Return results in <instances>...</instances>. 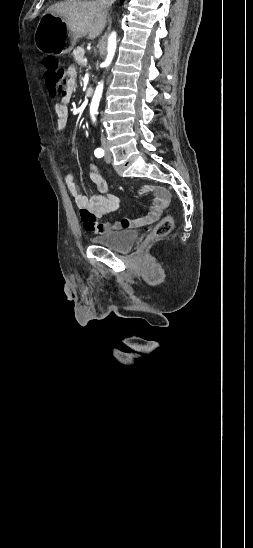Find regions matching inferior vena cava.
<instances>
[{
	"label": "inferior vena cava",
	"mask_w": 253,
	"mask_h": 548,
	"mask_svg": "<svg viewBox=\"0 0 253 548\" xmlns=\"http://www.w3.org/2000/svg\"><path fill=\"white\" fill-rule=\"evenodd\" d=\"M98 2L100 6H102L105 9H108L115 2V0H98ZM101 139L105 140L103 135L101 136Z\"/></svg>",
	"instance_id": "obj_1"
}]
</instances>
